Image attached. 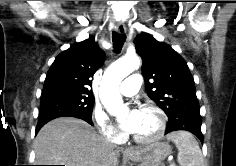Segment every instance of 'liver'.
Returning a JSON list of instances; mask_svg holds the SVG:
<instances>
[{"instance_id":"obj_1","label":"liver","mask_w":236,"mask_h":166,"mask_svg":"<svg viewBox=\"0 0 236 166\" xmlns=\"http://www.w3.org/2000/svg\"><path fill=\"white\" fill-rule=\"evenodd\" d=\"M36 165L118 166L119 150L83 120L61 117L34 140Z\"/></svg>"}]
</instances>
